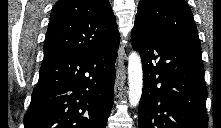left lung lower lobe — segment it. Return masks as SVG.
Wrapping results in <instances>:
<instances>
[{
	"instance_id": "obj_1",
	"label": "left lung lower lobe",
	"mask_w": 221,
	"mask_h": 128,
	"mask_svg": "<svg viewBox=\"0 0 221 128\" xmlns=\"http://www.w3.org/2000/svg\"><path fill=\"white\" fill-rule=\"evenodd\" d=\"M131 42L143 67L139 128H207L201 53L134 30Z\"/></svg>"
}]
</instances>
